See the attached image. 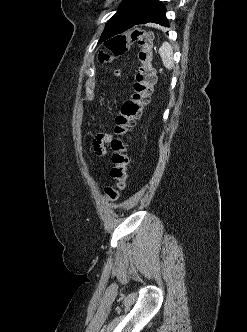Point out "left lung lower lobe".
Segmentation results:
<instances>
[{
  "label": "left lung lower lobe",
  "mask_w": 247,
  "mask_h": 332,
  "mask_svg": "<svg viewBox=\"0 0 247 332\" xmlns=\"http://www.w3.org/2000/svg\"><path fill=\"white\" fill-rule=\"evenodd\" d=\"M166 8L159 0H148L137 13L128 20L120 30V33L126 30H133L140 24L156 23L162 26H169L165 16Z\"/></svg>",
  "instance_id": "0a47b994"
}]
</instances>
